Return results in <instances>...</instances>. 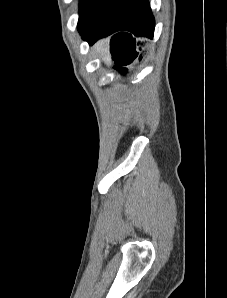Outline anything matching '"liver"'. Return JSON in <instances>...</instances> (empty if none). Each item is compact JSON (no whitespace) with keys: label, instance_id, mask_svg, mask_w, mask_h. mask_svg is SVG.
<instances>
[{"label":"liver","instance_id":"obj_1","mask_svg":"<svg viewBox=\"0 0 227 298\" xmlns=\"http://www.w3.org/2000/svg\"><path fill=\"white\" fill-rule=\"evenodd\" d=\"M94 49L99 54L102 61H104V63L107 66H110L111 65V56H110V51H109V40L103 39V40L98 41L95 44Z\"/></svg>","mask_w":227,"mask_h":298}]
</instances>
